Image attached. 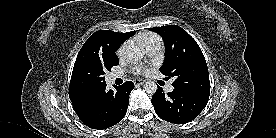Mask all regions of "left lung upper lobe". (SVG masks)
<instances>
[{
	"label": "left lung upper lobe",
	"instance_id": "1",
	"mask_svg": "<svg viewBox=\"0 0 276 138\" xmlns=\"http://www.w3.org/2000/svg\"><path fill=\"white\" fill-rule=\"evenodd\" d=\"M150 30L164 40L165 61L160 71L166 76L175 77L174 88L209 97L208 67L197 42L177 25L153 27Z\"/></svg>",
	"mask_w": 276,
	"mask_h": 138
}]
</instances>
